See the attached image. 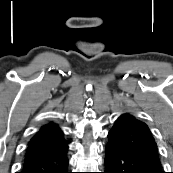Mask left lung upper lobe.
Segmentation results:
<instances>
[{"mask_svg": "<svg viewBox=\"0 0 173 173\" xmlns=\"http://www.w3.org/2000/svg\"><path fill=\"white\" fill-rule=\"evenodd\" d=\"M108 139L109 143L159 159L157 144L149 128L130 114L116 120Z\"/></svg>", "mask_w": 173, "mask_h": 173, "instance_id": "left-lung-upper-lobe-1", "label": "left lung upper lobe"}]
</instances>
